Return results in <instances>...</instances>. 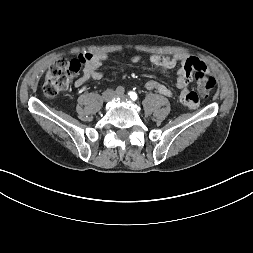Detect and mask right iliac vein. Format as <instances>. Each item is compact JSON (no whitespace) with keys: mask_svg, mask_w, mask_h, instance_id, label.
<instances>
[{"mask_svg":"<svg viewBox=\"0 0 253 253\" xmlns=\"http://www.w3.org/2000/svg\"><path fill=\"white\" fill-rule=\"evenodd\" d=\"M115 96V93L113 90H106L103 95H102V98L105 102H108L110 101L113 97Z\"/></svg>","mask_w":253,"mask_h":253,"instance_id":"obj_1","label":"right iliac vein"}]
</instances>
